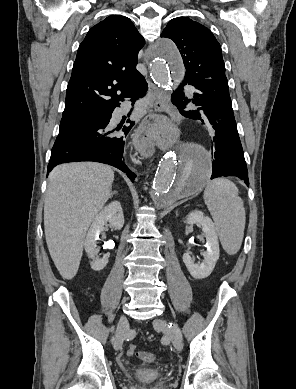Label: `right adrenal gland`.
I'll list each match as a JSON object with an SVG mask.
<instances>
[{"instance_id": "2a0ac1e0", "label": "right adrenal gland", "mask_w": 296, "mask_h": 389, "mask_svg": "<svg viewBox=\"0 0 296 389\" xmlns=\"http://www.w3.org/2000/svg\"><path fill=\"white\" fill-rule=\"evenodd\" d=\"M116 194H118V192L117 191H113L112 194H111V198L113 197V195H116Z\"/></svg>"}]
</instances>
